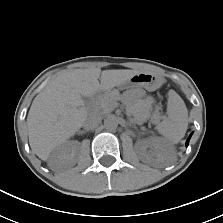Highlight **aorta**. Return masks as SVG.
I'll use <instances>...</instances> for the list:
<instances>
[{"mask_svg":"<svg viewBox=\"0 0 223 223\" xmlns=\"http://www.w3.org/2000/svg\"><path fill=\"white\" fill-rule=\"evenodd\" d=\"M104 126L106 129L115 130L118 126L116 118L114 116H108L104 120Z\"/></svg>","mask_w":223,"mask_h":223,"instance_id":"obj_1","label":"aorta"}]
</instances>
